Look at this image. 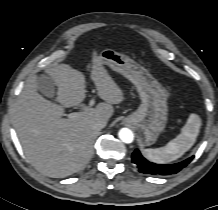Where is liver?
Here are the masks:
<instances>
[{"label":"liver","instance_id":"6515ba94","mask_svg":"<svg viewBox=\"0 0 218 210\" xmlns=\"http://www.w3.org/2000/svg\"><path fill=\"white\" fill-rule=\"evenodd\" d=\"M46 72L58 87L60 104L43 98L37 92V78H29L15 103L14 128L33 166L49 177L63 178L90 161L99 133L94 122L108 121L114 112L112 105L121 103L124 95L94 51L91 79L104 102L95 108L84 107L77 118H63L64 108L80 106L84 101L85 77L67 64L50 67Z\"/></svg>","mask_w":218,"mask_h":210}]
</instances>
